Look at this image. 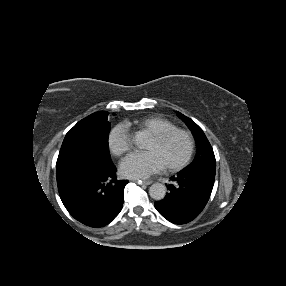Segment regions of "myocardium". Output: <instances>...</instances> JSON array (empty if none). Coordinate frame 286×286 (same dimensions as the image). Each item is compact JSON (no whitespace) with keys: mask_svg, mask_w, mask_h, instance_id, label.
<instances>
[{"mask_svg":"<svg viewBox=\"0 0 286 286\" xmlns=\"http://www.w3.org/2000/svg\"><path fill=\"white\" fill-rule=\"evenodd\" d=\"M177 133H184L187 135L189 139V150L186 154V156L178 163L163 167L164 171L167 172H175L183 169L192 159L194 151H195V139L193 136V133L187 129L184 128H175L171 130H166L157 134H153L151 138L156 141V142H162L170 138L172 135L177 134Z\"/></svg>","mask_w":286,"mask_h":286,"instance_id":"myocardium-1","label":"myocardium"}]
</instances>
